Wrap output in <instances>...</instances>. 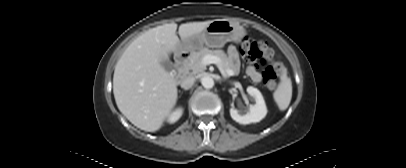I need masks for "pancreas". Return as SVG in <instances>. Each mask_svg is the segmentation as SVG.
Here are the masks:
<instances>
[{
  "label": "pancreas",
  "instance_id": "obj_1",
  "mask_svg": "<svg viewBox=\"0 0 406 168\" xmlns=\"http://www.w3.org/2000/svg\"><path fill=\"white\" fill-rule=\"evenodd\" d=\"M206 55L216 56L220 59L222 68L226 71L231 69L230 60L223 50H210L208 48H202L198 52L192 53L189 58V62L185 65V72L197 74L205 70V65L202 63V59Z\"/></svg>",
  "mask_w": 406,
  "mask_h": 168
}]
</instances>
